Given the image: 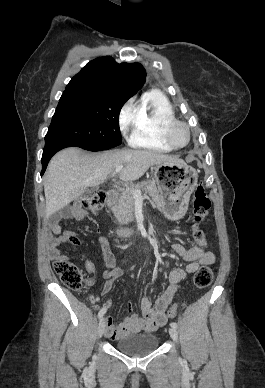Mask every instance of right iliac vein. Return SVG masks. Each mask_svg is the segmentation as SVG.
<instances>
[{
    "mask_svg": "<svg viewBox=\"0 0 265 388\" xmlns=\"http://www.w3.org/2000/svg\"><path fill=\"white\" fill-rule=\"evenodd\" d=\"M105 330V318H101L99 325H98V337L100 338Z\"/></svg>",
    "mask_w": 265,
    "mask_h": 388,
    "instance_id": "1",
    "label": "right iliac vein"
}]
</instances>
